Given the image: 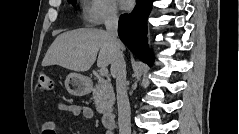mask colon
Listing matches in <instances>:
<instances>
[{
    "instance_id": "obj_1",
    "label": "colon",
    "mask_w": 239,
    "mask_h": 134,
    "mask_svg": "<svg viewBox=\"0 0 239 134\" xmlns=\"http://www.w3.org/2000/svg\"><path fill=\"white\" fill-rule=\"evenodd\" d=\"M38 90L41 92H48L53 89V80L51 76L46 73H40L37 80Z\"/></svg>"
}]
</instances>
